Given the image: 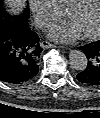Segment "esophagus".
Listing matches in <instances>:
<instances>
[{
    "label": "esophagus",
    "instance_id": "esophagus-1",
    "mask_svg": "<svg viewBox=\"0 0 100 118\" xmlns=\"http://www.w3.org/2000/svg\"><path fill=\"white\" fill-rule=\"evenodd\" d=\"M40 46H41L43 49L57 48L56 45H54V44H52V43H50V42H48V41H42V42L40 43Z\"/></svg>",
    "mask_w": 100,
    "mask_h": 118
}]
</instances>
